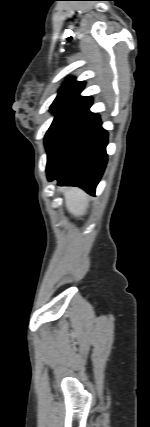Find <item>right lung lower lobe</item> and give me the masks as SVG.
<instances>
[{"label":"right lung lower lobe","mask_w":150,"mask_h":427,"mask_svg":"<svg viewBox=\"0 0 150 427\" xmlns=\"http://www.w3.org/2000/svg\"><path fill=\"white\" fill-rule=\"evenodd\" d=\"M98 114L81 111L55 143L47 160L49 181L61 186H78L89 194L95 188L107 163L108 134Z\"/></svg>","instance_id":"right-lung-lower-lobe-1"}]
</instances>
